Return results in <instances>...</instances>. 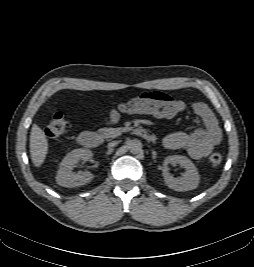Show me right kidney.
Here are the masks:
<instances>
[{
    "mask_svg": "<svg viewBox=\"0 0 254 267\" xmlns=\"http://www.w3.org/2000/svg\"><path fill=\"white\" fill-rule=\"evenodd\" d=\"M93 153L89 149H75L68 153L60 163L56 175V182L63 187H77L89 183L93 179V174L85 171L74 173L72 170L79 160L88 161L92 158Z\"/></svg>",
    "mask_w": 254,
    "mask_h": 267,
    "instance_id": "1",
    "label": "right kidney"
}]
</instances>
